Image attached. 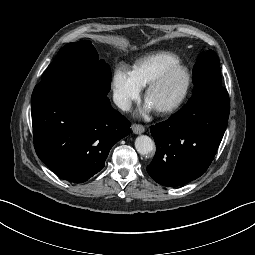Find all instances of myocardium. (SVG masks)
<instances>
[{"instance_id":"1","label":"myocardium","mask_w":255,"mask_h":255,"mask_svg":"<svg viewBox=\"0 0 255 255\" xmlns=\"http://www.w3.org/2000/svg\"><path fill=\"white\" fill-rule=\"evenodd\" d=\"M177 70H181L185 73L186 75V83L184 86V89L182 91V93L180 94V96L174 100L173 102L155 109V111L159 114H168L171 112L176 111L177 109H179L184 102L186 101L191 86H192V75L190 70L183 64L179 63H175L172 64L170 66H168L167 68H165L155 79H153L146 87L145 93H144V100L147 102V98L150 95V93L152 91H154L158 86H160L163 81L174 71Z\"/></svg>"}]
</instances>
